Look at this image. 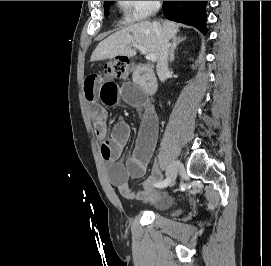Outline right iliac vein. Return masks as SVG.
Masks as SVG:
<instances>
[{
  "instance_id": "obj_1",
  "label": "right iliac vein",
  "mask_w": 271,
  "mask_h": 266,
  "mask_svg": "<svg viewBox=\"0 0 271 266\" xmlns=\"http://www.w3.org/2000/svg\"><path fill=\"white\" fill-rule=\"evenodd\" d=\"M182 169V165L180 164L179 161H174L170 164L169 168H168V178H169V182L167 186H171L174 184L177 173L179 170Z\"/></svg>"
}]
</instances>
